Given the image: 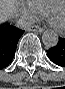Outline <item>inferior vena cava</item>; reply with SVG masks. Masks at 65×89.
I'll list each match as a JSON object with an SVG mask.
<instances>
[{
    "instance_id": "602c4592",
    "label": "inferior vena cava",
    "mask_w": 65,
    "mask_h": 89,
    "mask_svg": "<svg viewBox=\"0 0 65 89\" xmlns=\"http://www.w3.org/2000/svg\"><path fill=\"white\" fill-rule=\"evenodd\" d=\"M33 23L34 22L29 18L20 17L17 20L16 26L21 28V29H28V28H30L32 26Z\"/></svg>"
}]
</instances>
